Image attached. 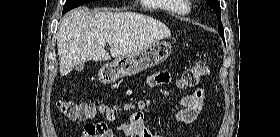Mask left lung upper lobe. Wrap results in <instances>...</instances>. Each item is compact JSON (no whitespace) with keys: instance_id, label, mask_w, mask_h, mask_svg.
<instances>
[{"instance_id":"5c2ea615","label":"left lung upper lobe","mask_w":280,"mask_h":137,"mask_svg":"<svg viewBox=\"0 0 280 137\" xmlns=\"http://www.w3.org/2000/svg\"><path fill=\"white\" fill-rule=\"evenodd\" d=\"M206 2L210 7L213 8L215 14L217 15V18L219 21L218 31L225 44L224 29H223L222 22H221V8H220L219 1L218 0H206Z\"/></svg>"}]
</instances>
